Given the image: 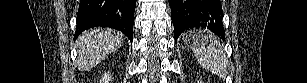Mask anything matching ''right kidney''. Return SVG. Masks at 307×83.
<instances>
[{
  "label": "right kidney",
  "instance_id": "1",
  "mask_svg": "<svg viewBox=\"0 0 307 83\" xmlns=\"http://www.w3.org/2000/svg\"><path fill=\"white\" fill-rule=\"evenodd\" d=\"M112 80V76L109 72H105L102 76L100 83H109Z\"/></svg>",
  "mask_w": 307,
  "mask_h": 83
}]
</instances>
